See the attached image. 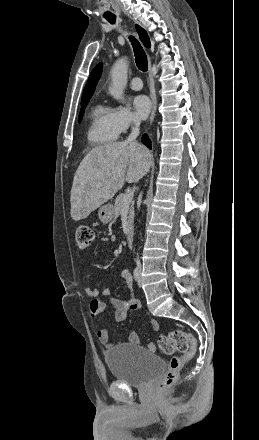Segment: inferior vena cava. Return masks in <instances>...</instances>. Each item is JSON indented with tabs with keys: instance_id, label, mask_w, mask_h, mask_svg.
<instances>
[{
	"instance_id": "1",
	"label": "inferior vena cava",
	"mask_w": 259,
	"mask_h": 440,
	"mask_svg": "<svg viewBox=\"0 0 259 440\" xmlns=\"http://www.w3.org/2000/svg\"><path fill=\"white\" fill-rule=\"evenodd\" d=\"M139 127H140V122L136 119H133L132 120V130H131V133H130L128 139L126 140L128 143H132V144L137 143L136 138L139 135ZM136 265L138 267H141V263H140V260L138 257L136 259Z\"/></svg>"
}]
</instances>
